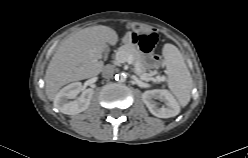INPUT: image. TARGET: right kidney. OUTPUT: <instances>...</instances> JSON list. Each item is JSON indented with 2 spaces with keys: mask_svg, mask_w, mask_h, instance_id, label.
I'll return each mask as SVG.
<instances>
[{
  "mask_svg": "<svg viewBox=\"0 0 248 158\" xmlns=\"http://www.w3.org/2000/svg\"><path fill=\"white\" fill-rule=\"evenodd\" d=\"M79 93L81 95L76 98ZM92 96V89L89 88L82 91V84L80 82H74L65 86L56 95L55 106L64 114L75 115L85 111L89 107Z\"/></svg>",
  "mask_w": 248,
  "mask_h": 158,
  "instance_id": "right-kidney-1",
  "label": "right kidney"
}]
</instances>
